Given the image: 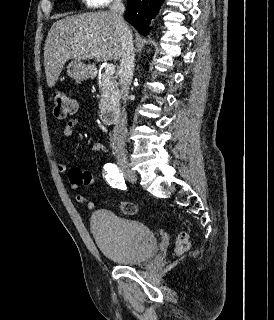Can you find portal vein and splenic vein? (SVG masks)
<instances>
[{"label":"portal vein and splenic vein","instance_id":"18ae733b","mask_svg":"<svg viewBox=\"0 0 274 320\" xmlns=\"http://www.w3.org/2000/svg\"><path fill=\"white\" fill-rule=\"evenodd\" d=\"M114 72H115V66H113V64H107V66H105V74H108V76H112Z\"/></svg>","mask_w":274,"mask_h":320}]
</instances>
